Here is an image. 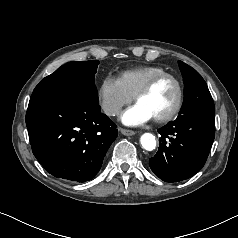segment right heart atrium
Instances as JSON below:
<instances>
[{"label": "right heart atrium", "mask_w": 238, "mask_h": 238, "mask_svg": "<svg viewBox=\"0 0 238 238\" xmlns=\"http://www.w3.org/2000/svg\"><path fill=\"white\" fill-rule=\"evenodd\" d=\"M99 100L101 107L108 116H116L121 109L133 99L121 86L118 78L106 77L100 84Z\"/></svg>", "instance_id": "obj_1"}]
</instances>
